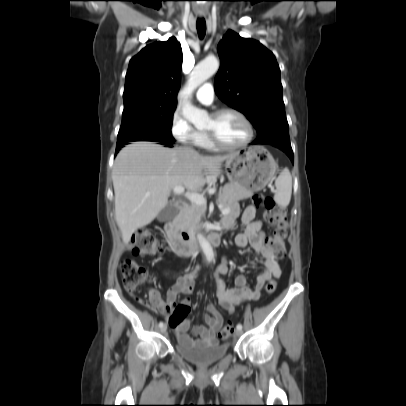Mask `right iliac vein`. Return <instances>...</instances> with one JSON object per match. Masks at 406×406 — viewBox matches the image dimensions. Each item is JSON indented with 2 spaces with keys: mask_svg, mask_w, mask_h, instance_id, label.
Segmentation results:
<instances>
[{
  "mask_svg": "<svg viewBox=\"0 0 406 406\" xmlns=\"http://www.w3.org/2000/svg\"><path fill=\"white\" fill-rule=\"evenodd\" d=\"M166 330H167V326H166V325H163V326L161 327V332H162V333H165Z\"/></svg>",
  "mask_w": 406,
  "mask_h": 406,
  "instance_id": "right-iliac-vein-1",
  "label": "right iliac vein"
}]
</instances>
